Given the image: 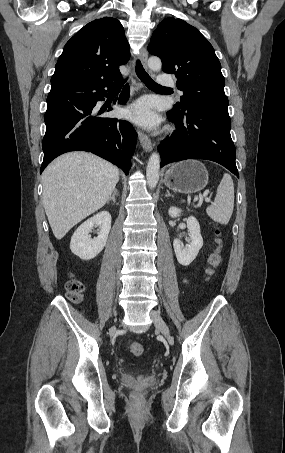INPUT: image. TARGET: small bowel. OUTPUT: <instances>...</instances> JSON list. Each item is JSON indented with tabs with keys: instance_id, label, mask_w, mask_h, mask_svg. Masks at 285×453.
<instances>
[{
	"instance_id": "1",
	"label": "small bowel",
	"mask_w": 285,
	"mask_h": 453,
	"mask_svg": "<svg viewBox=\"0 0 285 453\" xmlns=\"http://www.w3.org/2000/svg\"><path fill=\"white\" fill-rule=\"evenodd\" d=\"M184 283H186V284H187V283H188V280H187V279H185V280H184Z\"/></svg>"
}]
</instances>
